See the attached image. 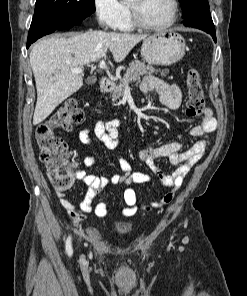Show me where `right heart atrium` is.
Here are the masks:
<instances>
[{
	"label": "right heart atrium",
	"instance_id": "1",
	"mask_svg": "<svg viewBox=\"0 0 247 296\" xmlns=\"http://www.w3.org/2000/svg\"><path fill=\"white\" fill-rule=\"evenodd\" d=\"M94 15L103 28H117L124 19L126 10L120 0H93Z\"/></svg>",
	"mask_w": 247,
	"mask_h": 296
}]
</instances>
